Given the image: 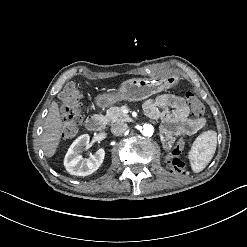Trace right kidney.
Here are the masks:
<instances>
[{"label": "right kidney", "mask_w": 247, "mask_h": 247, "mask_svg": "<svg viewBox=\"0 0 247 247\" xmlns=\"http://www.w3.org/2000/svg\"><path fill=\"white\" fill-rule=\"evenodd\" d=\"M89 140V135L83 134L69 147L64 158V166L71 175L88 176L95 172L102 164L105 156V151L102 148L87 159H83L80 155L83 148L89 146Z\"/></svg>", "instance_id": "1"}]
</instances>
